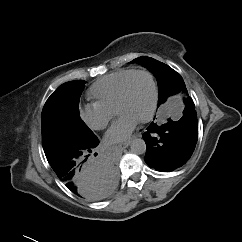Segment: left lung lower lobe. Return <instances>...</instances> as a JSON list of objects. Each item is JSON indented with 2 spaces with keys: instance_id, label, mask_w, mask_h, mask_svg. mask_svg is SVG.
Returning a JSON list of instances; mask_svg holds the SVG:
<instances>
[{
  "instance_id": "obj_1",
  "label": "left lung lower lobe",
  "mask_w": 242,
  "mask_h": 242,
  "mask_svg": "<svg viewBox=\"0 0 242 242\" xmlns=\"http://www.w3.org/2000/svg\"><path fill=\"white\" fill-rule=\"evenodd\" d=\"M183 116L178 121L168 119L159 125L151 123L143 134L146 143L145 162L161 172H171L182 167L192 156L198 139L195 105L184 98Z\"/></svg>"
}]
</instances>
